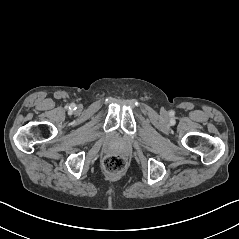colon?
Masks as SVG:
<instances>
[{
  "instance_id": "colon-1",
  "label": "colon",
  "mask_w": 239,
  "mask_h": 239,
  "mask_svg": "<svg viewBox=\"0 0 239 239\" xmlns=\"http://www.w3.org/2000/svg\"><path fill=\"white\" fill-rule=\"evenodd\" d=\"M126 166L125 159L120 155L110 154L103 160V167L109 173H118Z\"/></svg>"
}]
</instances>
